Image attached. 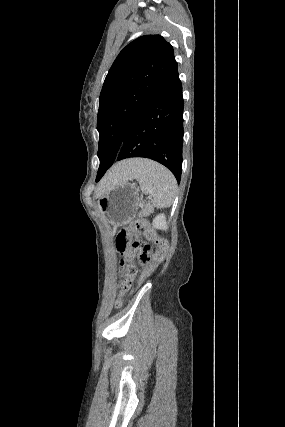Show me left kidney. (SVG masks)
<instances>
[{
    "mask_svg": "<svg viewBox=\"0 0 285 427\" xmlns=\"http://www.w3.org/2000/svg\"><path fill=\"white\" fill-rule=\"evenodd\" d=\"M153 227L160 230H167L168 225L164 214H159L153 219Z\"/></svg>",
    "mask_w": 285,
    "mask_h": 427,
    "instance_id": "obj_1",
    "label": "left kidney"
}]
</instances>
